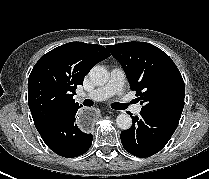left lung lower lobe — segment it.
Wrapping results in <instances>:
<instances>
[{
    "label": "left lung lower lobe",
    "instance_id": "1",
    "mask_svg": "<svg viewBox=\"0 0 209 179\" xmlns=\"http://www.w3.org/2000/svg\"><path fill=\"white\" fill-rule=\"evenodd\" d=\"M181 115L141 110L132 117L133 125L121 132L123 147L137 157H150L159 152L176 130Z\"/></svg>",
    "mask_w": 209,
    "mask_h": 179
}]
</instances>
